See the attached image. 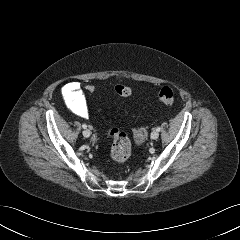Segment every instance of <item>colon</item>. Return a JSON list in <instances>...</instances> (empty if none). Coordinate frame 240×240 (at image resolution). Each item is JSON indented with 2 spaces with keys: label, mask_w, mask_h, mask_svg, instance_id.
Here are the masks:
<instances>
[{
  "label": "colon",
  "mask_w": 240,
  "mask_h": 240,
  "mask_svg": "<svg viewBox=\"0 0 240 240\" xmlns=\"http://www.w3.org/2000/svg\"><path fill=\"white\" fill-rule=\"evenodd\" d=\"M84 90L88 94H93L96 91V87L93 84H87ZM114 90L121 97H129L132 94V89L122 84L117 85ZM158 100L166 106H172L174 103V91L172 88L168 86L163 87L158 93ZM109 135L113 138L111 149L113 160L118 164L124 163L131 155V142L129 138L117 128L110 129Z\"/></svg>",
  "instance_id": "colon-1"
}]
</instances>
